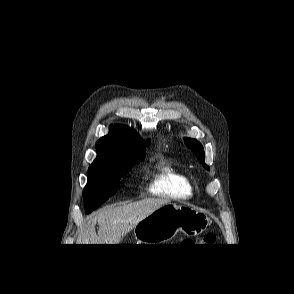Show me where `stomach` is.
I'll return each instance as SVG.
<instances>
[{"instance_id": "0dacf381", "label": "stomach", "mask_w": 294, "mask_h": 294, "mask_svg": "<svg viewBox=\"0 0 294 294\" xmlns=\"http://www.w3.org/2000/svg\"><path fill=\"white\" fill-rule=\"evenodd\" d=\"M210 224L208 216L188 205L167 203L134 227L138 244H164L182 232L187 236L201 234Z\"/></svg>"}]
</instances>
